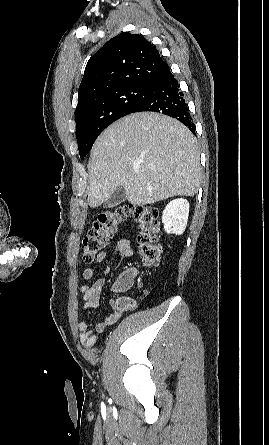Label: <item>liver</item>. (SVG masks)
Instances as JSON below:
<instances>
[{"instance_id": "liver-1", "label": "liver", "mask_w": 269, "mask_h": 445, "mask_svg": "<svg viewBox=\"0 0 269 445\" xmlns=\"http://www.w3.org/2000/svg\"><path fill=\"white\" fill-rule=\"evenodd\" d=\"M201 168L197 140L166 115L141 112L105 129L91 151L88 204L96 208L119 187L143 206L172 196H194Z\"/></svg>"}]
</instances>
